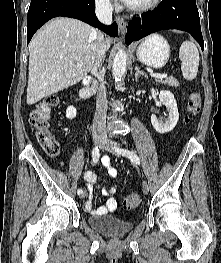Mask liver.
<instances>
[{
  "label": "liver",
  "instance_id": "1",
  "mask_svg": "<svg viewBox=\"0 0 221 263\" xmlns=\"http://www.w3.org/2000/svg\"><path fill=\"white\" fill-rule=\"evenodd\" d=\"M99 33L67 17L55 18L37 32L29 44L27 104H35L87 76L95 62ZM105 45L108 50V37Z\"/></svg>",
  "mask_w": 221,
  "mask_h": 263
}]
</instances>
